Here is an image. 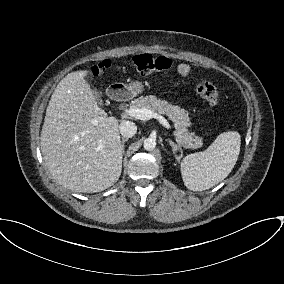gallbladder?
Masks as SVG:
<instances>
[{
  "mask_svg": "<svg viewBox=\"0 0 284 284\" xmlns=\"http://www.w3.org/2000/svg\"><path fill=\"white\" fill-rule=\"evenodd\" d=\"M99 105H103L102 95L97 90L93 91Z\"/></svg>",
  "mask_w": 284,
  "mask_h": 284,
  "instance_id": "obj_1",
  "label": "gallbladder"
}]
</instances>
